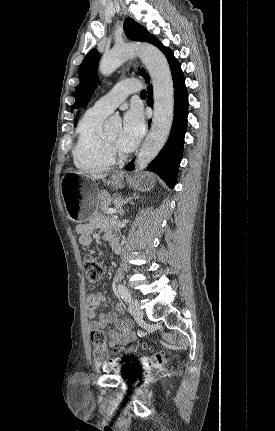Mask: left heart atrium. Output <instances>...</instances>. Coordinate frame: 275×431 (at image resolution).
<instances>
[{"instance_id":"1","label":"left heart atrium","mask_w":275,"mask_h":431,"mask_svg":"<svg viewBox=\"0 0 275 431\" xmlns=\"http://www.w3.org/2000/svg\"><path fill=\"white\" fill-rule=\"evenodd\" d=\"M145 133V123L139 109L133 108L126 112L123 127L117 142L118 147L125 152L136 148Z\"/></svg>"}]
</instances>
